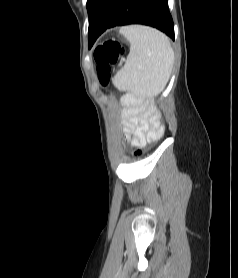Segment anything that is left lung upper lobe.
I'll use <instances>...</instances> for the list:
<instances>
[{
	"mask_svg": "<svg viewBox=\"0 0 238 278\" xmlns=\"http://www.w3.org/2000/svg\"><path fill=\"white\" fill-rule=\"evenodd\" d=\"M98 1L99 0H87V11H88L89 17Z\"/></svg>",
	"mask_w": 238,
	"mask_h": 278,
	"instance_id": "obj_1",
	"label": "left lung upper lobe"
}]
</instances>
